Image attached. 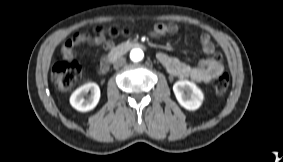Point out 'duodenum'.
Here are the masks:
<instances>
[{"label":"duodenum","mask_w":283,"mask_h":162,"mask_svg":"<svg viewBox=\"0 0 283 162\" xmlns=\"http://www.w3.org/2000/svg\"><path fill=\"white\" fill-rule=\"evenodd\" d=\"M140 47H142V44H140L139 42H135V41L123 42V43L117 45V48H116L115 51H113V52L109 51V53L107 54L106 57L110 58V61H109V64H110V62L121 57L122 55H124L129 50H131L133 48H140Z\"/></svg>","instance_id":"obj_1"}]
</instances>
